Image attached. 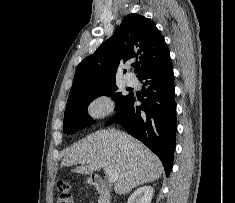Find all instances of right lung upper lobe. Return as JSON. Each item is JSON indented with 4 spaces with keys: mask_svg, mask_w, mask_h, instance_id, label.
Segmentation results:
<instances>
[{
    "mask_svg": "<svg viewBox=\"0 0 235 203\" xmlns=\"http://www.w3.org/2000/svg\"><path fill=\"white\" fill-rule=\"evenodd\" d=\"M132 58L139 59L135 69L138 78L170 59L166 42L154 22L137 14L125 16L114 35L78 65L70 93L114 81L115 69Z\"/></svg>",
    "mask_w": 235,
    "mask_h": 203,
    "instance_id": "right-lung-upper-lobe-1",
    "label": "right lung upper lobe"
}]
</instances>
